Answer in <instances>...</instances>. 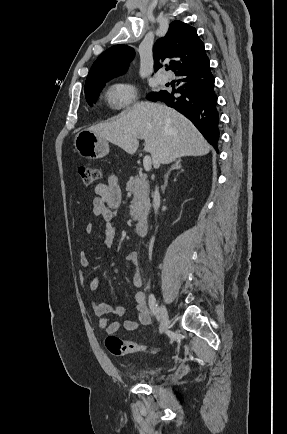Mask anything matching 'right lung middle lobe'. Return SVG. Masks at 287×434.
<instances>
[{
    "label": "right lung middle lobe",
    "mask_w": 287,
    "mask_h": 434,
    "mask_svg": "<svg viewBox=\"0 0 287 434\" xmlns=\"http://www.w3.org/2000/svg\"><path fill=\"white\" fill-rule=\"evenodd\" d=\"M109 80L110 79L98 81L95 83L85 85V97H86L87 102L90 105H93V103H96L98 96H99V92L105 86V83Z\"/></svg>",
    "instance_id": "1"
}]
</instances>
